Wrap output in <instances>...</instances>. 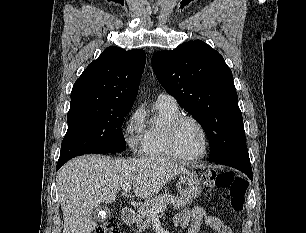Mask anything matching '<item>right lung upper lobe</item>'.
<instances>
[{
	"label": "right lung upper lobe",
	"instance_id": "right-lung-upper-lobe-1",
	"mask_svg": "<svg viewBox=\"0 0 306 233\" xmlns=\"http://www.w3.org/2000/svg\"><path fill=\"white\" fill-rule=\"evenodd\" d=\"M146 62L143 50L106 48L75 82L71 105L132 107Z\"/></svg>",
	"mask_w": 306,
	"mask_h": 233
}]
</instances>
